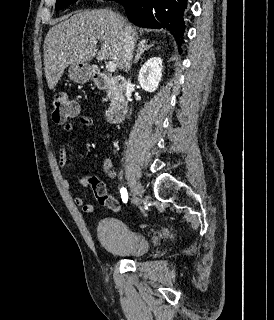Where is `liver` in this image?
Wrapping results in <instances>:
<instances>
[{
	"mask_svg": "<svg viewBox=\"0 0 274 320\" xmlns=\"http://www.w3.org/2000/svg\"><path fill=\"white\" fill-rule=\"evenodd\" d=\"M121 24L131 26L123 16L111 8H105L73 12L60 24L53 26L45 38L43 48L48 88H55L67 66L87 64L95 56L98 62L112 60L122 70L125 52ZM133 36L139 40L136 30H133ZM98 42H103L99 52Z\"/></svg>",
	"mask_w": 274,
	"mask_h": 320,
	"instance_id": "1",
	"label": "liver"
}]
</instances>
